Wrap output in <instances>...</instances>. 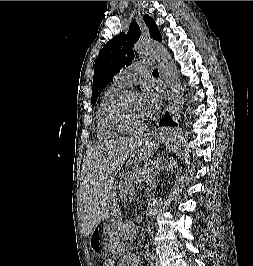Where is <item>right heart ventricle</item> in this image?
<instances>
[{
    "label": "right heart ventricle",
    "instance_id": "obj_1",
    "mask_svg": "<svg viewBox=\"0 0 253 266\" xmlns=\"http://www.w3.org/2000/svg\"><path fill=\"white\" fill-rule=\"evenodd\" d=\"M124 86L118 82L113 83L104 93L96 113V134L101 140L112 139L123 133L110 128L105 119L106 110L111 101L123 91Z\"/></svg>",
    "mask_w": 253,
    "mask_h": 266
}]
</instances>
